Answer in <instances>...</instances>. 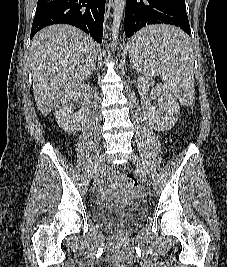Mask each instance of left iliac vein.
<instances>
[{
    "label": "left iliac vein",
    "mask_w": 227,
    "mask_h": 267,
    "mask_svg": "<svg viewBox=\"0 0 227 267\" xmlns=\"http://www.w3.org/2000/svg\"><path fill=\"white\" fill-rule=\"evenodd\" d=\"M132 159H133L134 165L136 167V170L139 174V177L142 180L146 181V179H147L146 169L142 165L141 161L139 160V158L136 155H133Z\"/></svg>",
    "instance_id": "obj_1"
}]
</instances>
